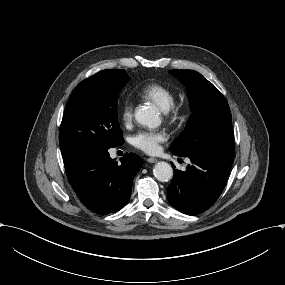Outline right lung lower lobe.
<instances>
[{"mask_svg":"<svg viewBox=\"0 0 285 285\" xmlns=\"http://www.w3.org/2000/svg\"><path fill=\"white\" fill-rule=\"evenodd\" d=\"M67 178L82 204L90 211L107 215L128 202L132 182L143 165L134 153H126L121 164L110 158L108 149H93L63 157Z\"/></svg>","mask_w":285,"mask_h":285,"instance_id":"obj_1","label":"right lung lower lobe"}]
</instances>
